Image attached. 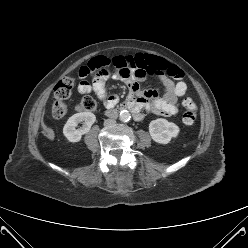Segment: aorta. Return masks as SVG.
Wrapping results in <instances>:
<instances>
[{
  "mask_svg": "<svg viewBox=\"0 0 248 248\" xmlns=\"http://www.w3.org/2000/svg\"><path fill=\"white\" fill-rule=\"evenodd\" d=\"M119 118H120V120H121L122 122H127V121L130 120L131 115H130L129 111L123 110V111L120 112Z\"/></svg>",
  "mask_w": 248,
  "mask_h": 248,
  "instance_id": "1",
  "label": "aorta"
}]
</instances>
